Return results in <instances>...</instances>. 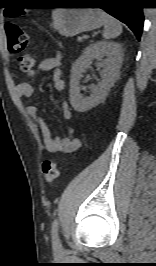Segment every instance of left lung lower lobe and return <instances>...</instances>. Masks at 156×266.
<instances>
[{
  "instance_id": "0a47b994",
  "label": "left lung lower lobe",
  "mask_w": 156,
  "mask_h": 266,
  "mask_svg": "<svg viewBox=\"0 0 156 266\" xmlns=\"http://www.w3.org/2000/svg\"><path fill=\"white\" fill-rule=\"evenodd\" d=\"M83 6L102 8L110 15L125 23L140 40L144 17L137 0H69Z\"/></svg>"
}]
</instances>
